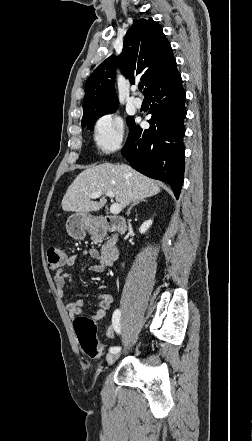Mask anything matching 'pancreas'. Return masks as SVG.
Instances as JSON below:
<instances>
[{"instance_id":"cf45deb5","label":"pancreas","mask_w":252,"mask_h":441,"mask_svg":"<svg viewBox=\"0 0 252 441\" xmlns=\"http://www.w3.org/2000/svg\"><path fill=\"white\" fill-rule=\"evenodd\" d=\"M95 240H98L97 237H94ZM116 240V236L112 235V237H107V243L105 245L102 246V251H105L109 246H111V244Z\"/></svg>"}]
</instances>
